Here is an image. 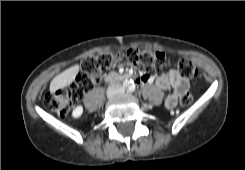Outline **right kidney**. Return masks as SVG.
<instances>
[{"label": "right kidney", "mask_w": 245, "mask_h": 170, "mask_svg": "<svg viewBox=\"0 0 245 170\" xmlns=\"http://www.w3.org/2000/svg\"><path fill=\"white\" fill-rule=\"evenodd\" d=\"M83 113V107L81 105L77 106L74 108L73 112H72V116L73 118H79L81 117Z\"/></svg>", "instance_id": "right-kidney-1"}]
</instances>
